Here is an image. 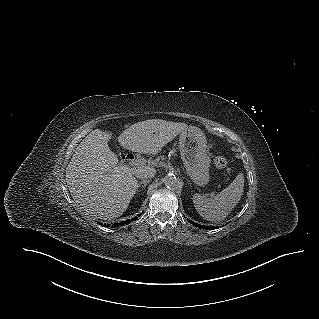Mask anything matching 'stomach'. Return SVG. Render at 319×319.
<instances>
[{
  "label": "stomach",
  "mask_w": 319,
  "mask_h": 319,
  "mask_svg": "<svg viewBox=\"0 0 319 319\" xmlns=\"http://www.w3.org/2000/svg\"><path fill=\"white\" fill-rule=\"evenodd\" d=\"M206 147V136L199 128L189 127L180 133L179 148L185 170L198 186H205L210 179V157Z\"/></svg>",
  "instance_id": "obj_1"
}]
</instances>
